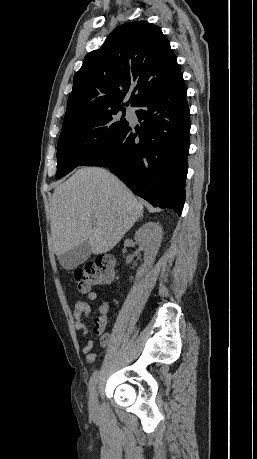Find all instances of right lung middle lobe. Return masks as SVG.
I'll return each instance as SVG.
<instances>
[{"instance_id": "dd1d6c3e", "label": "right lung middle lobe", "mask_w": 257, "mask_h": 459, "mask_svg": "<svg viewBox=\"0 0 257 459\" xmlns=\"http://www.w3.org/2000/svg\"><path fill=\"white\" fill-rule=\"evenodd\" d=\"M122 111V116L117 115ZM125 108L115 107L62 129L57 145L56 179L110 147L127 129Z\"/></svg>"}]
</instances>
